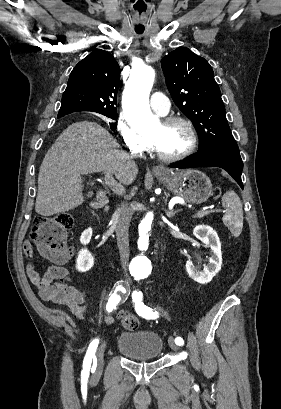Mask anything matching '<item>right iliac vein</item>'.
<instances>
[{
	"label": "right iliac vein",
	"mask_w": 281,
	"mask_h": 409,
	"mask_svg": "<svg viewBox=\"0 0 281 409\" xmlns=\"http://www.w3.org/2000/svg\"><path fill=\"white\" fill-rule=\"evenodd\" d=\"M105 348H106V343H103V344L101 345V347L99 348L97 354H96V358H95V361H96V373H100V371H101L102 368H103V359H104V351H105Z\"/></svg>",
	"instance_id": "right-iliac-vein-1"
}]
</instances>
